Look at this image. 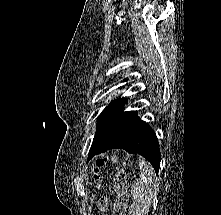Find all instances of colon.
<instances>
[{
  "label": "colon",
  "mask_w": 221,
  "mask_h": 215,
  "mask_svg": "<svg viewBox=\"0 0 221 215\" xmlns=\"http://www.w3.org/2000/svg\"><path fill=\"white\" fill-rule=\"evenodd\" d=\"M107 159L98 158L95 161L92 170V177L96 183L100 181V167L103 166ZM112 186L116 192V200L112 202L108 197H102L98 202L100 215H106V212L113 209L114 215H129L128 211V194H127V177L124 171L116 169Z\"/></svg>",
  "instance_id": "colon-1"
}]
</instances>
